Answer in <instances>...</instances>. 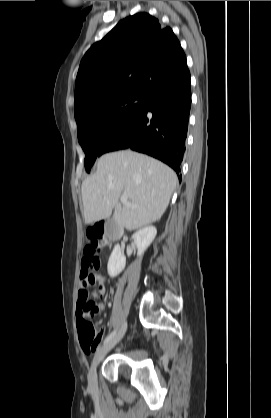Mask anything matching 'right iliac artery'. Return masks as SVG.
<instances>
[{
	"instance_id": "82829eb1",
	"label": "right iliac artery",
	"mask_w": 271,
	"mask_h": 418,
	"mask_svg": "<svg viewBox=\"0 0 271 418\" xmlns=\"http://www.w3.org/2000/svg\"><path fill=\"white\" fill-rule=\"evenodd\" d=\"M116 334V330H114L112 333H110L104 340L103 344H106L107 342H109Z\"/></svg>"
}]
</instances>
